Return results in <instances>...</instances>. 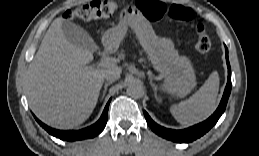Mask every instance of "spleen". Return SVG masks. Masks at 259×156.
I'll return each instance as SVG.
<instances>
[{
    "instance_id": "3e777b00",
    "label": "spleen",
    "mask_w": 259,
    "mask_h": 156,
    "mask_svg": "<svg viewBox=\"0 0 259 156\" xmlns=\"http://www.w3.org/2000/svg\"><path fill=\"white\" fill-rule=\"evenodd\" d=\"M219 76L215 71L189 99L170 107L173 117L182 125H192L209 117L216 108Z\"/></svg>"
}]
</instances>
